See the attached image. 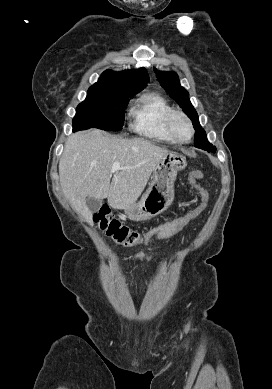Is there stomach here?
Here are the masks:
<instances>
[{"mask_svg": "<svg viewBox=\"0 0 272 389\" xmlns=\"http://www.w3.org/2000/svg\"><path fill=\"white\" fill-rule=\"evenodd\" d=\"M187 165L185 156L169 152L153 170L152 181L138 202L124 208L125 214L134 221L155 217L167 210L174 200V182L177 173Z\"/></svg>", "mask_w": 272, "mask_h": 389, "instance_id": "0dacf381", "label": "stomach"}]
</instances>
